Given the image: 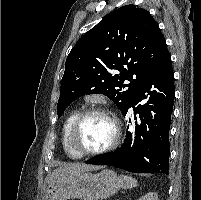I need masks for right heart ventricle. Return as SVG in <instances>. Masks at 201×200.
Instances as JSON below:
<instances>
[{
  "mask_svg": "<svg viewBox=\"0 0 201 200\" xmlns=\"http://www.w3.org/2000/svg\"><path fill=\"white\" fill-rule=\"evenodd\" d=\"M79 113L80 112L78 110H74L67 116V118L63 124L62 132H61L62 149H63L64 153L71 159H76V157L74 156V154L72 153V151L70 150L69 145H68V132H69L70 127L73 124L74 120L79 115Z\"/></svg>",
  "mask_w": 201,
  "mask_h": 200,
  "instance_id": "right-heart-ventricle-1",
  "label": "right heart ventricle"
}]
</instances>
